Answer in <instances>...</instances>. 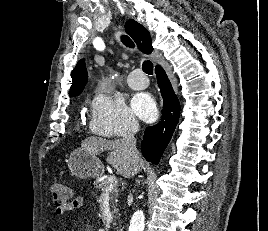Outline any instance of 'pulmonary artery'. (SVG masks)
Returning a JSON list of instances; mask_svg holds the SVG:
<instances>
[{
  "label": "pulmonary artery",
  "mask_w": 268,
  "mask_h": 231,
  "mask_svg": "<svg viewBox=\"0 0 268 231\" xmlns=\"http://www.w3.org/2000/svg\"><path fill=\"white\" fill-rule=\"evenodd\" d=\"M128 85L134 90H143L148 84L149 80L139 69L132 71L127 77Z\"/></svg>",
  "instance_id": "e3ab8cb5"
}]
</instances>
